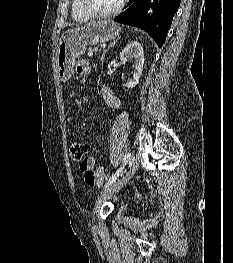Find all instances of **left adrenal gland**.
<instances>
[{"instance_id":"1","label":"left adrenal gland","mask_w":233,"mask_h":263,"mask_svg":"<svg viewBox=\"0 0 233 263\" xmlns=\"http://www.w3.org/2000/svg\"><path fill=\"white\" fill-rule=\"evenodd\" d=\"M117 41H118V39H116L113 43H111V44L109 45V47L103 52L102 57H101V62H102V63L104 62V57H105V54L107 53V51H108L111 47H113V46L117 43Z\"/></svg>"}]
</instances>
